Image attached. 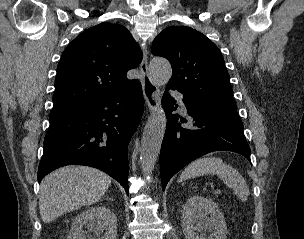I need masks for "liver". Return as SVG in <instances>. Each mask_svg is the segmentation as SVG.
<instances>
[{"mask_svg":"<svg viewBox=\"0 0 304 239\" xmlns=\"http://www.w3.org/2000/svg\"><path fill=\"white\" fill-rule=\"evenodd\" d=\"M110 184L107 174L87 166H66L51 172L40 185L41 219L50 223L64 213L96 203Z\"/></svg>","mask_w":304,"mask_h":239,"instance_id":"6515ba94","label":"liver"}]
</instances>
